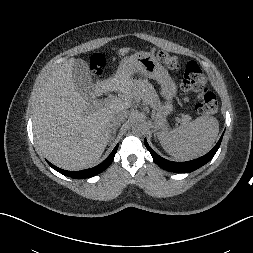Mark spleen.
Returning a JSON list of instances; mask_svg holds the SVG:
<instances>
[{"label":"spleen","instance_id":"3e777b00","mask_svg":"<svg viewBox=\"0 0 253 253\" xmlns=\"http://www.w3.org/2000/svg\"><path fill=\"white\" fill-rule=\"evenodd\" d=\"M219 133V123L215 117L202 116L192 122L157 133L164 150L179 161L198 158L213 146Z\"/></svg>","mask_w":253,"mask_h":253}]
</instances>
